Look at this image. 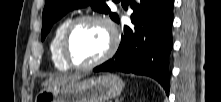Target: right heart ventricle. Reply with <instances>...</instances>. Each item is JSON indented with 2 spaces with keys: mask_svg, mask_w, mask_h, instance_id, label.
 <instances>
[{
  "mask_svg": "<svg viewBox=\"0 0 221 102\" xmlns=\"http://www.w3.org/2000/svg\"><path fill=\"white\" fill-rule=\"evenodd\" d=\"M72 19L73 18L71 16H67L57 25L49 43L51 60L55 68L60 71H67L70 68L62 59L60 46L63 33Z\"/></svg>",
  "mask_w": 221,
  "mask_h": 102,
  "instance_id": "right-heart-ventricle-1",
  "label": "right heart ventricle"
}]
</instances>
